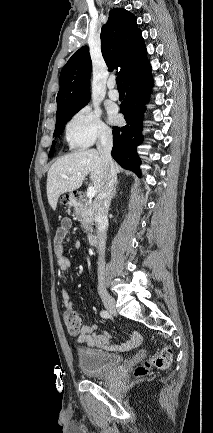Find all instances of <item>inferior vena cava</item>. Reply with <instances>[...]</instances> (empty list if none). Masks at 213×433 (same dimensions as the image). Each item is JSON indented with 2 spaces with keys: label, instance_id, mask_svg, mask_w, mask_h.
Returning a JSON list of instances; mask_svg holds the SVG:
<instances>
[{
  "label": "inferior vena cava",
  "instance_id": "inferior-vena-cava-1",
  "mask_svg": "<svg viewBox=\"0 0 213 433\" xmlns=\"http://www.w3.org/2000/svg\"><path fill=\"white\" fill-rule=\"evenodd\" d=\"M112 134L110 131H104L99 136L97 149L104 161V180L103 185L94 201L95 222L97 226L98 237V291L103 293L106 291L104 283V268H105V248L108 226V211L116 183V171L111 157L112 150Z\"/></svg>",
  "mask_w": 213,
  "mask_h": 433
}]
</instances>
